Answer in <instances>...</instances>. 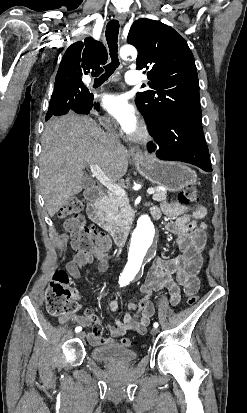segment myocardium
I'll use <instances>...</instances> for the list:
<instances>
[{"label": "myocardium", "instance_id": "obj_1", "mask_svg": "<svg viewBox=\"0 0 247 413\" xmlns=\"http://www.w3.org/2000/svg\"><path fill=\"white\" fill-rule=\"evenodd\" d=\"M153 133L148 124H143L141 130L137 133L133 140L139 144H145L152 140Z\"/></svg>", "mask_w": 247, "mask_h": 413}]
</instances>
